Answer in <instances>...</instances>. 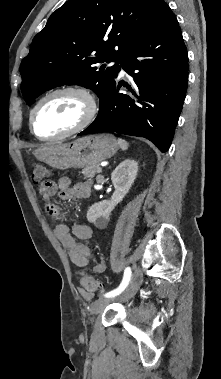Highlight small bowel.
Listing matches in <instances>:
<instances>
[{"mask_svg":"<svg viewBox=\"0 0 221 379\" xmlns=\"http://www.w3.org/2000/svg\"><path fill=\"white\" fill-rule=\"evenodd\" d=\"M56 190H59V195L63 200L87 198L91 192V183L89 181H84L72 184L70 178L61 177L57 184L52 183V187L47 194L42 195L43 200L48 202ZM48 211L52 217H60V209L56 208L52 203H49ZM53 232L61 245L67 250L68 256L73 264L81 268L88 265L91 258V250L86 244L79 240H88L92 237L93 231L90 226L78 223L70 226L63 222H59L55 225ZM104 269V264L98 263L93 268V272L101 273ZM80 293L86 299L92 297L90 293L84 290H80Z\"/></svg>","mask_w":221,"mask_h":379,"instance_id":"c3829d8e","label":"small bowel"}]
</instances>
